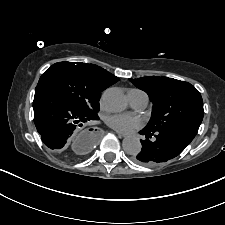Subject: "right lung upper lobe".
I'll return each mask as SVG.
<instances>
[{"label": "right lung upper lobe", "mask_w": 225, "mask_h": 225, "mask_svg": "<svg viewBox=\"0 0 225 225\" xmlns=\"http://www.w3.org/2000/svg\"><path fill=\"white\" fill-rule=\"evenodd\" d=\"M81 65L88 71L95 82L102 86L104 89L119 80V78L97 65L85 63H81Z\"/></svg>", "instance_id": "right-lung-upper-lobe-1"}]
</instances>
